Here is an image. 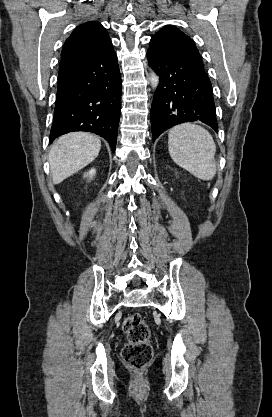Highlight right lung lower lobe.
Returning a JSON list of instances; mask_svg holds the SVG:
<instances>
[{"instance_id":"98d812e1","label":"right lung lower lobe","mask_w":272,"mask_h":417,"mask_svg":"<svg viewBox=\"0 0 272 417\" xmlns=\"http://www.w3.org/2000/svg\"><path fill=\"white\" fill-rule=\"evenodd\" d=\"M121 110V76L111 41L95 56L60 63L50 143L60 135L88 131L113 152Z\"/></svg>"}]
</instances>
